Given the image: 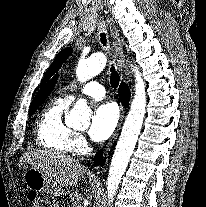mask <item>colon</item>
<instances>
[{"label": "colon", "mask_w": 206, "mask_h": 207, "mask_svg": "<svg viewBox=\"0 0 206 207\" xmlns=\"http://www.w3.org/2000/svg\"><path fill=\"white\" fill-rule=\"evenodd\" d=\"M29 198L34 207H48L47 201L37 193H29Z\"/></svg>", "instance_id": "colon-1"}]
</instances>
